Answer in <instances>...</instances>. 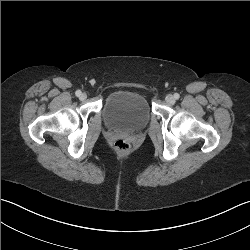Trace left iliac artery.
<instances>
[{
    "mask_svg": "<svg viewBox=\"0 0 250 250\" xmlns=\"http://www.w3.org/2000/svg\"><path fill=\"white\" fill-rule=\"evenodd\" d=\"M179 97H180V95H179L178 93H175V94H174V98H175V99H179Z\"/></svg>",
    "mask_w": 250,
    "mask_h": 250,
    "instance_id": "left-iliac-artery-1",
    "label": "left iliac artery"
}]
</instances>
